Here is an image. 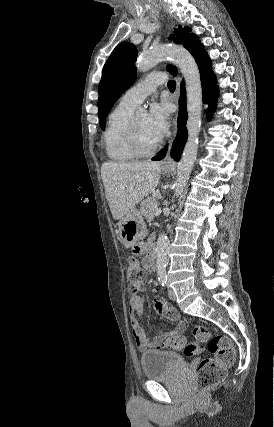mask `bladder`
Listing matches in <instances>:
<instances>
[{"label":"bladder","mask_w":274,"mask_h":427,"mask_svg":"<svg viewBox=\"0 0 274 427\" xmlns=\"http://www.w3.org/2000/svg\"><path fill=\"white\" fill-rule=\"evenodd\" d=\"M180 355L169 350H146L140 356L144 376L148 380L171 377L179 368Z\"/></svg>","instance_id":"obj_1"}]
</instances>
